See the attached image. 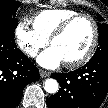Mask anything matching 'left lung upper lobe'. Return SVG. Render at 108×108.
Returning a JSON list of instances; mask_svg holds the SVG:
<instances>
[{
	"instance_id": "1",
	"label": "left lung upper lobe",
	"mask_w": 108,
	"mask_h": 108,
	"mask_svg": "<svg viewBox=\"0 0 108 108\" xmlns=\"http://www.w3.org/2000/svg\"><path fill=\"white\" fill-rule=\"evenodd\" d=\"M97 20L100 22L98 25L99 32V48H97L94 57H108V24H106L101 15L98 14Z\"/></svg>"
}]
</instances>
